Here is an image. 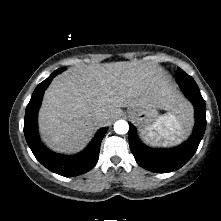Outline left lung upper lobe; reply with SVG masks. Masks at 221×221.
<instances>
[{
	"mask_svg": "<svg viewBox=\"0 0 221 221\" xmlns=\"http://www.w3.org/2000/svg\"><path fill=\"white\" fill-rule=\"evenodd\" d=\"M175 76L179 85H197L194 79L180 68H177Z\"/></svg>",
	"mask_w": 221,
	"mask_h": 221,
	"instance_id": "obj_1",
	"label": "left lung upper lobe"
}]
</instances>
